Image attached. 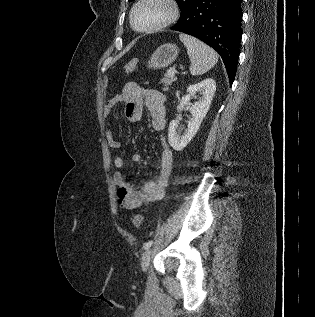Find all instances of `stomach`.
Here are the masks:
<instances>
[{
	"label": "stomach",
	"mask_w": 315,
	"mask_h": 317,
	"mask_svg": "<svg viewBox=\"0 0 315 317\" xmlns=\"http://www.w3.org/2000/svg\"><path fill=\"white\" fill-rule=\"evenodd\" d=\"M178 56V47L174 44H164L158 47L150 57L147 67L149 69H160L167 67Z\"/></svg>",
	"instance_id": "0dacf381"
}]
</instances>
